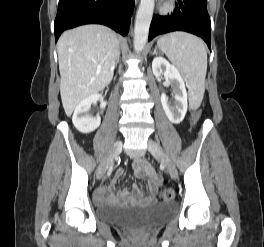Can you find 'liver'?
Returning a JSON list of instances; mask_svg holds the SVG:
<instances>
[{
    "label": "liver",
    "instance_id": "liver-1",
    "mask_svg": "<svg viewBox=\"0 0 264 247\" xmlns=\"http://www.w3.org/2000/svg\"><path fill=\"white\" fill-rule=\"evenodd\" d=\"M118 52L117 35L102 25H84L61 35L57 42L60 94L67 116L82 100L108 86Z\"/></svg>",
    "mask_w": 264,
    "mask_h": 247
}]
</instances>
